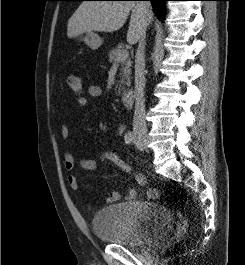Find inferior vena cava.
Instances as JSON below:
<instances>
[{
  "instance_id": "1",
  "label": "inferior vena cava",
  "mask_w": 245,
  "mask_h": 265,
  "mask_svg": "<svg viewBox=\"0 0 245 265\" xmlns=\"http://www.w3.org/2000/svg\"><path fill=\"white\" fill-rule=\"evenodd\" d=\"M139 10L142 14V21L144 29L141 30L139 36V44L135 56V111L133 117V132L135 135L143 134L147 132V125L145 121V98L144 88L146 79L144 77L145 69V26L150 22L152 17L151 4L149 1L138 2Z\"/></svg>"
}]
</instances>
